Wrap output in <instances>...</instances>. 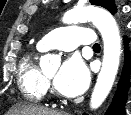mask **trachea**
Masks as SVG:
<instances>
[{
	"label": "trachea",
	"instance_id": "1",
	"mask_svg": "<svg viewBox=\"0 0 131 115\" xmlns=\"http://www.w3.org/2000/svg\"><path fill=\"white\" fill-rule=\"evenodd\" d=\"M93 49H100V45L98 43L94 44Z\"/></svg>",
	"mask_w": 131,
	"mask_h": 115
}]
</instances>
